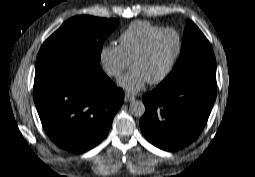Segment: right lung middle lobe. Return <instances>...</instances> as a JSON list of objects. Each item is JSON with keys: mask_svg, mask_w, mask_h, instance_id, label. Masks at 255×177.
<instances>
[{"mask_svg": "<svg viewBox=\"0 0 255 177\" xmlns=\"http://www.w3.org/2000/svg\"><path fill=\"white\" fill-rule=\"evenodd\" d=\"M117 26V19L86 15L69 19L44 42L36 71L55 66L102 71L99 63L103 42Z\"/></svg>", "mask_w": 255, "mask_h": 177, "instance_id": "dd1d6c3e", "label": "right lung middle lobe"}]
</instances>
